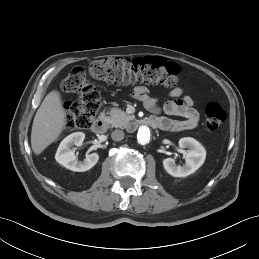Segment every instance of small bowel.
<instances>
[{
  "label": "small bowel",
  "instance_id": "obj_1",
  "mask_svg": "<svg viewBox=\"0 0 259 259\" xmlns=\"http://www.w3.org/2000/svg\"><path fill=\"white\" fill-rule=\"evenodd\" d=\"M132 97L140 101L144 107L153 114V117L162 122L161 129L168 131H181L195 128L200 119L198 111L194 108V100L184 95L180 87L173 88L169 92L171 98L163 105V111L169 116H180L182 120H174L159 116L161 108L156 100L149 94V91L143 86H137L132 92Z\"/></svg>",
  "mask_w": 259,
  "mask_h": 259
}]
</instances>
